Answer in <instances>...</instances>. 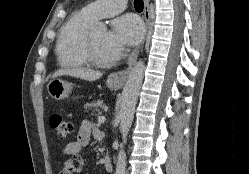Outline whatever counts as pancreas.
Listing matches in <instances>:
<instances>
[{"instance_id":"cf45deb5","label":"pancreas","mask_w":249,"mask_h":174,"mask_svg":"<svg viewBox=\"0 0 249 174\" xmlns=\"http://www.w3.org/2000/svg\"><path fill=\"white\" fill-rule=\"evenodd\" d=\"M84 108L86 110L90 109H94L93 112L97 111L98 112V115L101 114V109L104 108V104H103V101L102 100H97V101H93L91 103H86L84 105ZM94 115V113H93Z\"/></svg>"}]
</instances>
